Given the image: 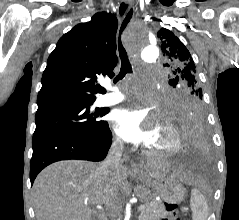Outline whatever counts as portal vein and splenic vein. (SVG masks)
Listing matches in <instances>:
<instances>
[{
    "label": "portal vein and splenic vein",
    "instance_id": "1",
    "mask_svg": "<svg viewBox=\"0 0 239 220\" xmlns=\"http://www.w3.org/2000/svg\"><path fill=\"white\" fill-rule=\"evenodd\" d=\"M145 207H146V204H142V205H140L139 207H138V211H142L143 209H145Z\"/></svg>",
    "mask_w": 239,
    "mask_h": 220
}]
</instances>
